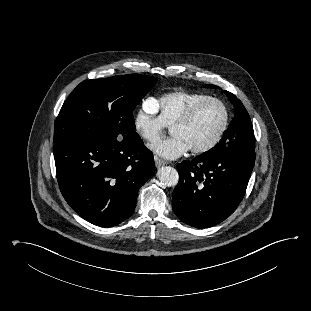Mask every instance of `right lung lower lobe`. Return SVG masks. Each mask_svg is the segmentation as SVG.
<instances>
[{"instance_id":"obj_1","label":"right lung lower lobe","mask_w":311,"mask_h":311,"mask_svg":"<svg viewBox=\"0 0 311 311\" xmlns=\"http://www.w3.org/2000/svg\"><path fill=\"white\" fill-rule=\"evenodd\" d=\"M53 151L63 197L83 219L101 227L131 216L139 188L155 169L140 137L130 142L67 139L55 142Z\"/></svg>"}]
</instances>
